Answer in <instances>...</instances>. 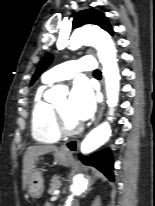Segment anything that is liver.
<instances>
[{"label":"liver","instance_id":"liver-1","mask_svg":"<svg viewBox=\"0 0 155 206\" xmlns=\"http://www.w3.org/2000/svg\"><path fill=\"white\" fill-rule=\"evenodd\" d=\"M56 150L57 147L54 145H34L27 148L23 160V187L27 186L38 157Z\"/></svg>","mask_w":155,"mask_h":206}]
</instances>
